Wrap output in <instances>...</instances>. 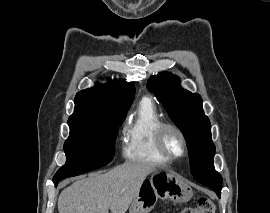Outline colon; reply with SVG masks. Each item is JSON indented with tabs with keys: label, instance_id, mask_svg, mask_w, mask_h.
I'll return each mask as SVG.
<instances>
[{
	"label": "colon",
	"instance_id": "obj_1",
	"mask_svg": "<svg viewBox=\"0 0 270 213\" xmlns=\"http://www.w3.org/2000/svg\"><path fill=\"white\" fill-rule=\"evenodd\" d=\"M181 213H215V205L210 199L202 197L195 206L186 207Z\"/></svg>",
	"mask_w": 270,
	"mask_h": 213
}]
</instances>
